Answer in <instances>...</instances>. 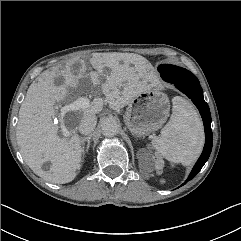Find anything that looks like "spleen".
<instances>
[{"label":"spleen","mask_w":241,"mask_h":241,"mask_svg":"<svg viewBox=\"0 0 241 241\" xmlns=\"http://www.w3.org/2000/svg\"><path fill=\"white\" fill-rule=\"evenodd\" d=\"M172 114L159 136L152 139L156 151L173 163L190 165L204 145L202 121L194 106L185 98L172 99Z\"/></svg>","instance_id":"spleen-1"}]
</instances>
